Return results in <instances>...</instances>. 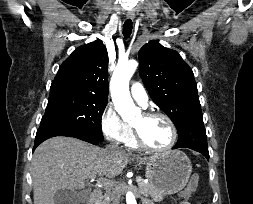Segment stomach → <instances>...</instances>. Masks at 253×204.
I'll list each match as a JSON object with an SVG mask.
<instances>
[{"label":"stomach","instance_id":"obj_1","mask_svg":"<svg viewBox=\"0 0 253 204\" xmlns=\"http://www.w3.org/2000/svg\"><path fill=\"white\" fill-rule=\"evenodd\" d=\"M136 162L146 166L145 176L155 189V193L150 195L154 201H162L166 195L181 191L192 173L190 159L179 150L137 157Z\"/></svg>","mask_w":253,"mask_h":204}]
</instances>
